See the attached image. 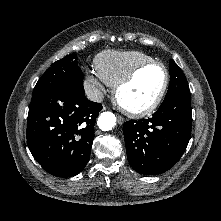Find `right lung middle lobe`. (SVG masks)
I'll use <instances>...</instances> for the list:
<instances>
[{
  "label": "right lung middle lobe",
  "instance_id": "obj_1",
  "mask_svg": "<svg viewBox=\"0 0 221 221\" xmlns=\"http://www.w3.org/2000/svg\"><path fill=\"white\" fill-rule=\"evenodd\" d=\"M77 60V56L70 54L53 63L34 87L30 104L62 87H70L83 92V74L78 67Z\"/></svg>",
  "mask_w": 221,
  "mask_h": 221
}]
</instances>
